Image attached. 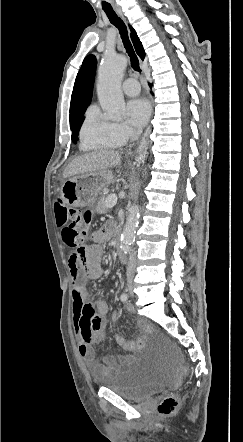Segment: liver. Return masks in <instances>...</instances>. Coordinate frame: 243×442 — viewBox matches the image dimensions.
I'll use <instances>...</instances> for the list:
<instances>
[{
	"label": "liver",
	"mask_w": 243,
	"mask_h": 442,
	"mask_svg": "<svg viewBox=\"0 0 243 442\" xmlns=\"http://www.w3.org/2000/svg\"><path fill=\"white\" fill-rule=\"evenodd\" d=\"M121 154L114 150H99L83 154L71 161L63 173L64 178L116 167Z\"/></svg>",
	"instance_id": "liver-1"
}]
</instances>
